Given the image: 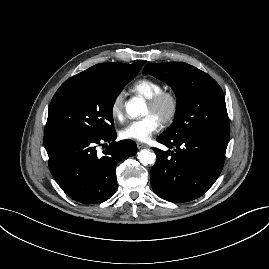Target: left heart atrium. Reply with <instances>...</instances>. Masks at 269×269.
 I'll list each match as a JSON object with an SVG mask.
<instances>
[{
  "instance_id": "left-heart-atrium-1",
  "label": "left heart atrium",
  "mask_w": 269,
  "mask_h": 269,
  "mask_svg": "<svg viewBox=\"0 0 269 269\" xmlns=\"http://www.w3.org/2000/svg\"><path fill=\"white\" fill-rule=\"evenodd\" d=\"M161 128V121L153 114H148L142 119L128 123L120 131L123 139L135 140L139 142L148 141L153 134Z\"/></svg>"
}]
</instances>
